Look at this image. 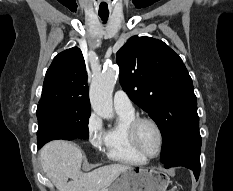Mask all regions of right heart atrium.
I'll return each mask as SVG.
<instances>
[{
	"instance_id": "1",
	"label": "right heart atrium",
	"mask_w": 233,
	"mask_h": 191,
	"mask_svg": "<svg viewBox=\"0 0 233 191\" xmlns=\"http://www.w3.org/2000/svg\"><path fill=\"white\" fill-rule=\"evenodd\" d=\"M87 137L89 142L96 149H101L106 145V131L101 118L92 113L87 121Z\"/></svg>"
}]
</instances>
